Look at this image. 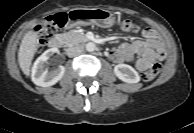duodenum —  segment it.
<instances>
[{
	"label": "duodenum",
	"mask_w": 194,
	"mask_h": 133,
	"mask_svg": "<svg viewBox=\"0 0 194 133\" xmlns=\"http://www.w3.org/2000/svg\"><path fill=\"white\" fill-rule=\"evenodd\" d=\"M72 41L74 43H82V44H85L86 42H89L90 39L88 38H85V37H81L80 35H76L72 38ZM63 44V38L61 35H57L55 37H53L50 42H49V46L50 48H53V49H58L62 46Z\"/></svg>",
	"instance_id": "duodenum-1"
}]
</instances>
